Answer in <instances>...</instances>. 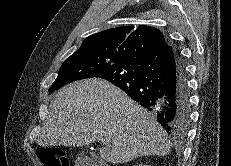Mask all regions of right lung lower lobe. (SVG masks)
Wrapping results in <instances>:
<instances>
[{"label":"right lung lower lobe","mask_w":231,"mask_h":166,"mask_svg":"<svg viewBox=\"0 0 231 166\" xmlns=\"http://www.w3.org/2000/svg\"><path fill=\"white\" fill-rule=\"evenodd\" d=\"M95 77L107 80L152 111L175 137L188 128L190 102L182 58L173 46L130 58L110 66Z\"/></svg>","instance_id":"1"}]
</instances>
